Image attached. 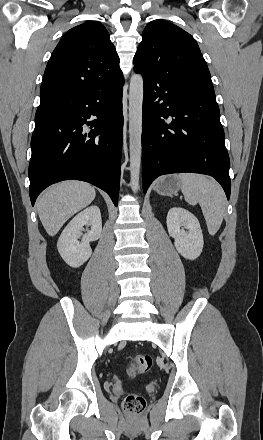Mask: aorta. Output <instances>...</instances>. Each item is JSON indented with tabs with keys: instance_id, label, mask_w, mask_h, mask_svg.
Wrapping results in <instances>:
<instances>
[{
	"instance_id": "obj_1",
	"label": "aorta",
	"mask_w": 263,
	"mask_h": 440,
	"mask_svg": "<svg viewBox=\"0 0 263 440\" xmlns=\"http://www.w3.org/2000/svg\"><path fill=\"white\" fill-rule=\"evenodd\" d=\"M143 94V77L140 74L132 75L129 89V169L130 184L134 193L139 190Z\"/></svg>"
}]
</instances>
